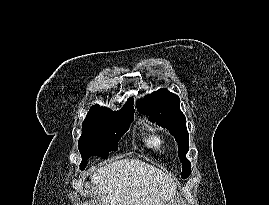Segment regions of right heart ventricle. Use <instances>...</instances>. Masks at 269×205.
Returning a JSON list of instances; mask_svg holds the SVG:
<instances>
[{
	"instance_id": "obj_1",
	"label": "right heart ventricle",
	"mask_w": 269,
	"mask_h": 205,
	"mask_svg": "<svg viewBox=\"0 0 269 205\" xmlns=\"http://www.w3.org/2000/svg\"><path fill=\"white\" fill-rule=\"evenodd\" d=\"M145 145L155 152H160L165 147V138L156 132H151L145 138Z\"/></svg>"
}]
</instances>
